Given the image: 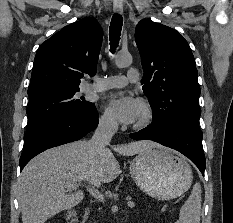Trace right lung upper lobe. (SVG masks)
<instances>
[{
  "instance_id": "right-lung-upper-lobe-1",
  "label": "right lung upper lobe",
  "mask_w": 233,
  "mask_h": 223,
  "mask_svg": "<svg viewBox=\"0 0 233 223\" xmlns=\"http://www.w3.org/2000/svg\"><path fill=\"white\" fill-rule=\"evenodd\" d=\"M102 29L87 17L65 26L38 48L28 95L49 88L79 87L85 74H96Z\"/></svg>"
}]
</instances>
